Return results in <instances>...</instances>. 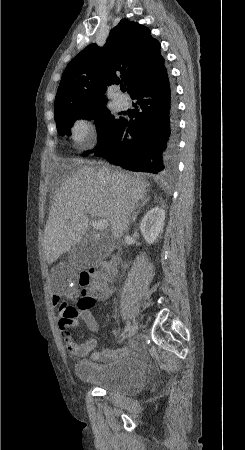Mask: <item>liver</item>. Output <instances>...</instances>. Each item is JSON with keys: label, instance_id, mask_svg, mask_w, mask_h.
Instances as JSON below:
<instances>
[{"label": "liver", "instance_id": "liver-1", "mask_svg": "<svg viewBox=\"0 0 245 450\" xmlns=\"http://www.w3.org/2000/svg\"><path fill=\"white\" fill-rule=\"evenodd\" d=\"M101 170L81 167L68 174L56 191L44 229L43 248L48 264L84 240L89 215L106 219L115 239L128 230L149 183L122 171L104 176Z\"/></svg>", "mask_w": 245, "mask_h": 450}]
</instances>
